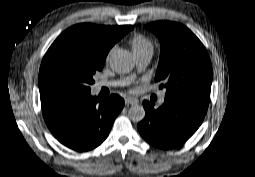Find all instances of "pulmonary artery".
Here are the masks:
<instances>
[{"instance_id": "pulmonary-artery-1", "label": "pulmonary artery", "mask_w": 255, "mask_h": 177, "mask_svg": "<svg viewBox=\"0 0 255 177\" xmlns=\"http://www.w3.org/2000/svg\"><path fill=\"white\" fill-rule=\"evenodd\" d=\"M151 56H152L151 52H145L143 54L136 56L135 58L139 65L146 66L150 62ZM103 85H105V83H99L98 87H101ZM160 102L161 103L164 102V94L160 97Z\"/></svg>"}]
</instances>
